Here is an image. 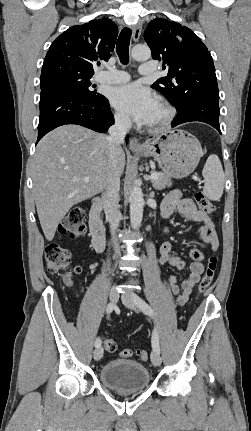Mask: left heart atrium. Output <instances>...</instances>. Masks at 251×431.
<instances>
[{"mask_svg": "<svg viewBox=\"0 0 251 431\" xmlns=\"http://www.w3.org/2000/svg\"><path fill=\"white\" fill-rule=\"evenodd\" d=\"M112 105L121 113L142 124H149L159 106L157 97L139 83H129L112 91Z\"/></svg>", "mask_w": 251, "mask_h": 431, "instance_id": "left-heart-atrium-1", "label": "left heart atrium"}]
</instances>
